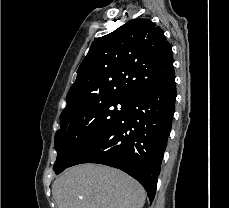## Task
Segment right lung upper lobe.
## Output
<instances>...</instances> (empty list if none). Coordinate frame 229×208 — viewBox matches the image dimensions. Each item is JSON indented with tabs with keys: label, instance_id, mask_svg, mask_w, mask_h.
Segmentation results:
<instances>
[{
	"label": "right lung upper lobe",
	"instance_id": "cb5924a9",
	"mask_svg": "<svg viewBox=\"0 0 229 208\" xmlns=\"http://www.w3.org/2000/svg\"><path fill=\"white\" fill-rule=\"evenodd\" d=\"M172 75L173 54L163 30L150 19L130 20L93 41L60 118L103 97L133 99Z\"/></svg>",
	"mask_w": 229,
	"mask_h": 208
}]
</instances>
